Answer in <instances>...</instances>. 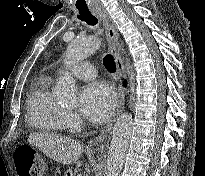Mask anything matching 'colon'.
Returning <instances> with one entry per match:
<instances>
[{
  "label": "colon",
  "instance_id": "1",
  "mask_svg": "<svg viewBox=\"0 0 205 176\" xmlns=\"http://www.w3.org/2000/svg\"><path fill=\"white\" fill-rule=\"evenodd\" d=\"M14 164L18 176H42L45 170V160L34 149L20 147L14 153Z\"/></svg>",
  "mask_w": 205,
  "mask_h": 176
}]
</instances>
